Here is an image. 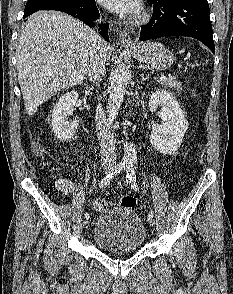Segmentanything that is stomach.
I'll list each match as a JSON object with an SVG mask.
<instances>
[{"instance_id":"1","label":"stomach","mask_w":233,"mask_h":294,"mask_svg":"<svg viewBox=\"0 0 233 294\" xmlns=\"http://www.w3.org/2000/svg\"><path fill=\"white\" fill-rule=\"evenodd\" d=\"M134 56L138 61L158 70L170 68L174 61L171 51L158 42L143 43L134 50Z\"/></svg>"}]
</instances>
